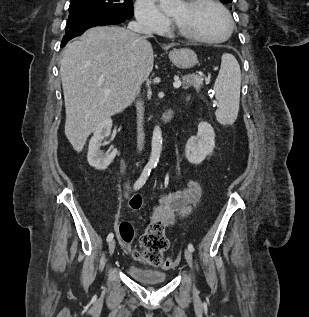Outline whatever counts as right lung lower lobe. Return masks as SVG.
<instances>
[{
	"label": "right lung lower lobe",
	"instance_id": "right-lung-lower-lobe-1",
	"mask_svg": "<svg viewBox=\"0 0 309 317\" xmlns=\"http://www.w3.org/2000/svg\"><path fill=\"white\" fill-rule=\"evenodd\" d=\"M125 20L122 17L99 12L71 13L68 17L66 34L61 42V47H64L69 40L83 34L91 27L120 24Z\"/></svg>",
	"mask_w": 309,
	"mask_h": 317
}]
</instances>
